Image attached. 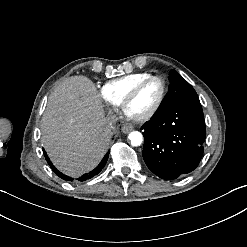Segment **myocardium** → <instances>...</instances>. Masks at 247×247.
Wrapping results in <instances>:
<instances>
[{
    "mask_svg": "<svg viewBox=\"0 0 247 247\" xmlns=\"http://www.w3.org/2000/svg\"><path fill=\"white\" fill-rule=\"evenodd\" d=\"M150 80H157L160 82L161 84V87H162V92H161V96H160V99L158 101V103L156 104V106L151 110L149 111L148 113L140 116V117H135V119L138 121V122H147L151 119H153L158 113L159 111L161 110L165 100H166V97H167V83L165 81V79L161 76H158V75H150V76H147L143 79H141L139 82H137L133 87L132 89L129 91V93L122 99L120 105H121V108L123 110H127V107L128 105L136 98L140 88L148 81Z\"/></svg>",
    "mask_w": 247,
    "mask_h": 247,
    "instance_id": "f54148a6",
    "label": "myocardium"
}]
</instances>
